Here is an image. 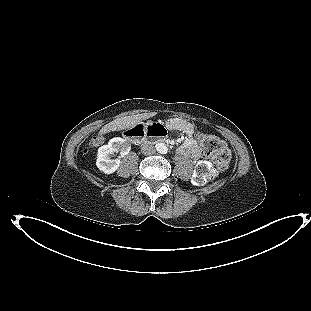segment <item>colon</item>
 Returning a JSON list of instances; mask_svg holds the SVG:
<instances>
[{"mask_svg": "<svg viewBox=\"0 0 311 311\" xmlns=\"http://www.w3.org/2000/svg\"><path fill=\"white\" fill-rule=\"evenodd\" d=\"M159 130L160 134L162 136H165L164 129L159 128ZM102 143H103L102 138L94 137L90 143L89 148L86 149V152H89L92 149L97 148ZM200 146L202 153L205 156L209 157L216 167V169H213L207 162L204 161L199 162L197 164L193 175V181L198 185H203L214 177L216 171H224L229 167L231 161V150L223 141L212 135L201 136Z\"/></svg>", "mask_w": 311, "mask_h": 311, "instance_id": "obj_1", "label": "colon"}]
</instances>
